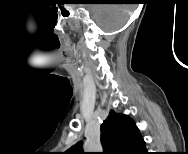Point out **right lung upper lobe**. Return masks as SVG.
I'll return each mask as SVG.
<instances>
[{"label": "right lung upper lobe", "instance_id": "1", "mask_svg": "<svg viewBox=\"0 0 188 154\" xmlns=\"http://www.w3.org/2000/svg\"><path fill=\"white\" fill-rule=\"evenodd\" d=\"M101 143L105 154H142L145 142L135 122L127 115L111 110L101 124ZM83 154L81 143L67 151Z\"/></svg>", "mask_w": 188, "mask_h": 154}]
</instances>
